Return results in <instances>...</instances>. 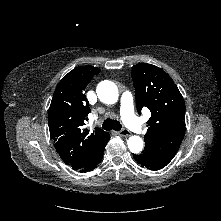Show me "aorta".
Listing matches in <instances>:
<instances>
[{
  "label": "aorta",
  "instance_id": "aorta-1",
  "mask_svg": "<svg viewBox=\"0 0 221 221\" xmlns=\"http://www.w3.org/2000/svg\"><path fill=\"white\" fill-rule=\"evenodd\" d=\"M96 92L100 101L105 104H114L118 101V88L111 81L105 80L100 82ZM127 144L132 153H139L143 149V140L136 135L129 137Z\"/></svg>",
  "mask_w": 221,
  "mask_h": 221
}]
</instances>
